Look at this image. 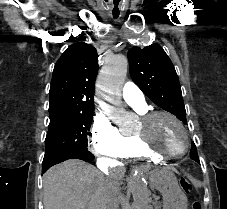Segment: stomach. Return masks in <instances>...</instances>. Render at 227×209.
Returning a JSON list of instances; mask_svg holds the SVG:
<instances>
[{
	"instance_id": "0dacf381",
	"label": "stomach",
	"mask_w": 227,
	"mask_h": 209,
	"mask_svg": "<svg viewBox=\"0 0 227 209\" xmlns=\"http://www.w3.org/2000/svg\"><path fill=\"white\" fill-rule=\"evenodd\" d=\"M150 181L163 196V209L187 208V197L181 191L173 172L165 169L154 170L150 175Z\"/></svg>"
}]
</instances>
